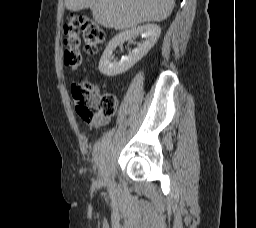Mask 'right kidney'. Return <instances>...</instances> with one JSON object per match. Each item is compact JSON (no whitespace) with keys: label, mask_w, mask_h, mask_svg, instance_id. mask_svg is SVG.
Listing matches in <instances>:
<instances>
[{"label":"right kidney","mask_w":256,"mask_h":228,"mask_svg":"<svg viewBox=\"0 0 256 228\" xmlns=\"http://www.w3.org/2000/svg\"><path fill=\"white\" fill-rule=\"evenodd\" d=\"M141 35L145 40L138 47L129 51L128 55L120 61H112L111 56L116 47L126 40ZM161 34L156 24H146L117 34L107 45L99 62V71L107 76L114 77L122 74L141 60L155 45Z\"/></svg>","instance_id":"right-kidney-1"}]
</instances>
